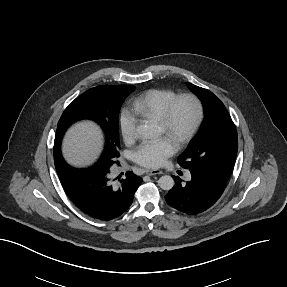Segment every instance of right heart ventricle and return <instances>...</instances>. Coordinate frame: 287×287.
Listing matches in <instances>:
<instances>
[{
    "label": "right heart ventricle",
    "instance_id": "obj_1",
    "mask_svg": "<svg viewBox=\"0 0 287 287\" xmlns=\"http://www.w3.org/2000/svg\"><path fill=\"white\" fill-rule=\"evenodd\" d=\"M176 93L168 89H150L132 101L133 113L141 118L159 120Z\"/></svg>",
    "mask_w": 287,
    "mask_h": 287
}]
</instances>
